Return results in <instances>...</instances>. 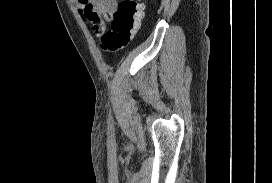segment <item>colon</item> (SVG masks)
<instances>
[{
    "instance_id": "colon-1",
    "label": "colon",
    "mask_w": 272,
    "mask_h": 183,
    "mask_svg": "<svg viewBox=\"0 0 272 183\" xmlns=\"http://www.w3.org/2000/svg\"><path fill=\"white\" fill-rule=\"evenodd\" d=\"M145 5L139 0H121L114 14L111 29L102 39V47L108 52L124 49L141 26Z\"/></svg>"
}]
</instances>
